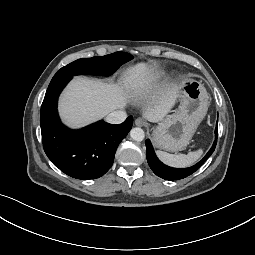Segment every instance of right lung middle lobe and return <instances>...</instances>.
I'll use <instances>...</instances> for the list:
<instances>
[{"label":"right lung middle lobe","mask_w":255,"mask_h":255,"mask_svg":"<svg viewBox=\"0 0 255 255\" xmlns=\"http://www.w3.org/2000/svg\"><path fill=\"white\" fill-rule=\"evenodd\" d=\"M132 58L126 52H115L102 57L78 59L62 67L51 81L80 74L109 76Z\"/></svg>","instance_id":"right-lung-middle-lobe-1"}]
</instances>
